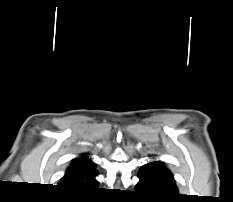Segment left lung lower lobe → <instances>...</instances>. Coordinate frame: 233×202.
I'll return each mask as SVG.
<instances>
[{
	"mask_svg": "<svg viewBox=\"0 0 233 202\" xmlns=\"http://www.w3.org/2000/svg\"><path fill=\"white\" fill-rule=\"evenodd\" d=\"M140 181L136 185V193L151 202H172L179 197L178 189L169 177L156 174L150 169L139 171Z\"/></svg>",
	"mask_w": 233,
	"mask_h": 202,
	"instance_id": "0a47b994",
	"label": "left lung lower lobe"
}]
</instances>
